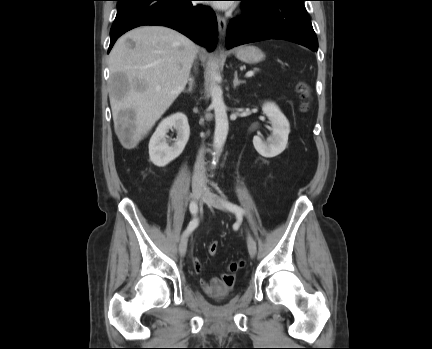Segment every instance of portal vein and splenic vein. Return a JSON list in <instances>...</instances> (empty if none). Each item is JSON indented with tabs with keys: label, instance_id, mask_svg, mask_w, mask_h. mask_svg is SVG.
<instances>
[{
	"label": "portal vein and splenic vein",
	"instance_id": "portal-vein-and-splenic-vein-1",
	"mask_svg": "<svg viewBox=\"0 0 432 349\" xmlns=\"http://www.w3.org/2000/svg\"><path fill=\"white\" fill-rule=\"evenodd\" d=\"M254 75V71H249L246 73V77H252Z\"/></svg>",
	"mask_w": 432,
	"mask_h": 349
}]
</instances>
